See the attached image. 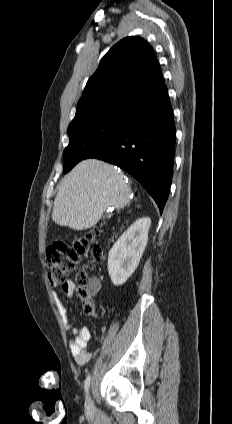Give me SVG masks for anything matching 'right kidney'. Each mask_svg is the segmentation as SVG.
Wrapping results in <instances>:
<instances>
[{"label": "right kidney", "instance_id": "1", "mask_svg": "<svg viewBox=\"0 0 232 424\" xmlns=\"http://www.w3.org/2000/svg\"><path fill=\"white\" fill-rule=\"evenodd\" d=\"M150 225V218L138 219L109 251L108 273L115 286L124 284L137 268L147 244Z\"/></svg>", "mask_w": 232, "mask_h": 424}]
</instances>
